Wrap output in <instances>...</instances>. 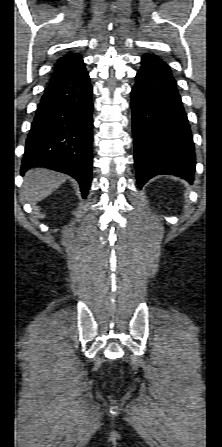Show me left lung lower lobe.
<instances>
[{
    "label": "left lung lower lobe",
    "instance_id": "0a47b994",
    "mask_svg": "<svg viewBox=\"0 0 222 447\" xmlns=\"http://www.w3.org/2000/svg\"><path fill=\"white\" fill-rule=\"evenodd\" d=\"M131 92L134 159L140 188L153 176L171 174L190 183L195 173L191 130L169 66L145 54Z\"/></svg>",
    "mask_w": 222,
    "mask_h": 447
}]
</instances>
